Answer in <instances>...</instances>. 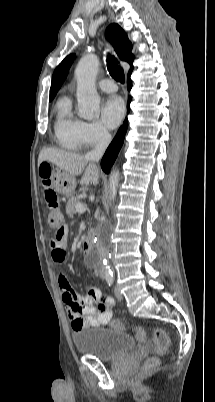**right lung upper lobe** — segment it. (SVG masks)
Masks as SVG:
<instances>
[{"mask_svg":"<svg viewBox=\"0 0 215 402\" xmlns=\"http://www.w3.org/2000/svg\"><path fill=\"white\" fill-rule=\"evenodd\" d=\"M106 37L112 43L114 50L116 51L119 58L123 61L128 62L131 67L128 75L131 74L133 70V60L134 56L131 53L132 44L129 41L124 30L117 24H111L106 29ZM75 58L74 54L67 56L55 69L52 76V83L50 88V97H55L57 91L60 89L63 81L65 80L68 70Z\"/></svg>","mask_w":215,"mask_h":402,"instance_id":"obj_1","label":"right lung upper lobe"}]
</instances>
